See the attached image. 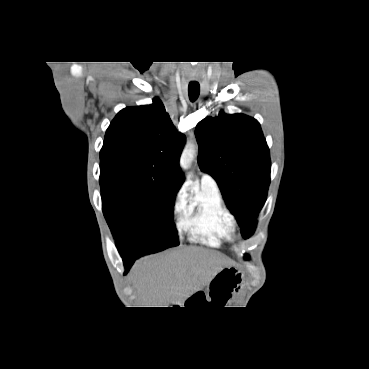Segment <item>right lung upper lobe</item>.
Returning a JSON list of instances; mask_svg holds the SVG:
<instances>
[{
	"label": "right lung upper lobe",
	"mask_w": 369,
	"mask_h": 369,
	"mask_svg": "<svg viewBox=\"0 0 369 369\" xmlns=\"http://www.w3.org/2000/svg\"><path fill=\"white\" fill-rule=\"evenodd\" d=\"M186 137L178 133L164 105L121 110L108 127L100 151V172L137 175L147 183L176 192L184 182L179 158Z\"/></svg>",
	"instance_id": "cb5924a9"
}]
</instances>
